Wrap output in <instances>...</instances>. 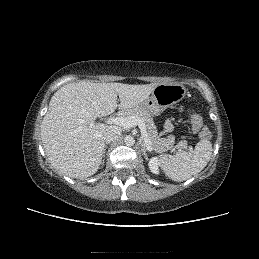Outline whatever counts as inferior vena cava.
<instances>
[{"label":"inferior vena cava","instance_id":"1","mask_svg":"<svg viewBox=\"0 0 259 259\" xmlns=\"http://www.w3.org/2000/svg\"><path fill=\"white\" fill-rule=\"evenodd\" d=\"M121 135V129L116 126H109L104 132V139L106 142L116 140Z\"/></svg>","mask_w":259,"mask_h":259}]
</instances>
